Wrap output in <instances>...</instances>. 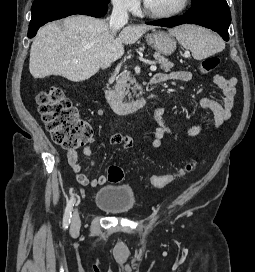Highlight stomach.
<instances>
[{
    "mask_svg": "<svg viewBox=\"0 0 255 272\" xmlns=\"http://www.w3.org/2000/svg\"><path fill=\"white\" fill-rule=\"evenodd\" d=\"M147 43L158 53L169 56L176 49V40L171 33L152 31L146 35Z\"/></svg>",
    "mask_w": 255,
    "mask_h": 272,
    "instance_id": "obj_1",
    "label": "stomach"
}]
</instances>
